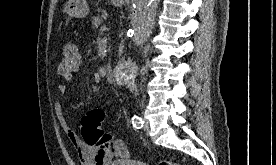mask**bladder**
<instances>
[{
	"mask_svg": "<svg viewBox=\"0 0 276 165\" xmlns=\"http://www.w3.org/2000/svg\"><path fill=\"white\" fill-rule=\"evenodd\" d=\"M109 165H147V164H145L143 162L136 161V160L117 159V160H114Z\"/></svg>",
	"mask_w": 276,
	"mask_h": 165,
	"instance_id": "1",
	"label": "bladder"
}]
</instances>
